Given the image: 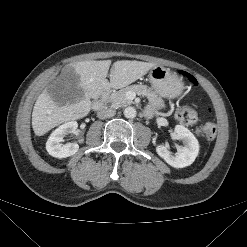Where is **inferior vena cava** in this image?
Here are the masks:
<instances>
[{
	"mask_svg": "<svg viewBox=\"0 0 247 247\" xmlns=\"http://www.w3.org/2000/svg\"><path fill=\"white\" fill-rule=\"evenodd\" d=\"M115 114H116V110L114 108L104 107L98 111L97 116L100 119H106L113 117Z\"/></svg>",
	"mask_w": 247,
	"mask_h": 247,
	"instance_id": "obj_1",
	"label": "inferior vena cava"
}]
</instances>
